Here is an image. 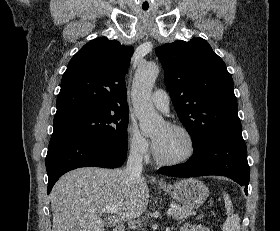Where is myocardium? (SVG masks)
<instances>
[{
    "mask_svg": "<svg viewBox=\"0 0 280 231\" xmlns=\"http://www.w3.org/2000/svg\"><path fill=\"white\" fill-rule=\"evenodd\" d=\"M167 126L183 134L189 142L190 149L188 153L183 157L174 158V159H164L156 152L155 153L156 161L163 166H178L187 163L196 155L197 152V141L194 134L191 132V130L179 124L168 123Z\"/></svg>",
    "mask_w": 280,
    "mask_h": 231,
    "instance_id": "1",
    "label": "myocardium"
}]
</instances>
